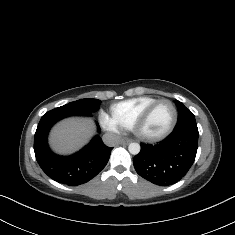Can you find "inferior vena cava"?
Listing matches in <instances>:
<instances>
[{"label": "inferior vena cava", "instance_id": "602c4592", "mask_svg": "<svg viewBox=\"0 0 235 235\" xmlns=\"http://www.w3.org/2000/svg\"><path fill=\"white\" fill-rule=\"evenodd\" d=\"M105 145L109 147H115L119 144L121 137L115 133H106L102 137Z\"/></svg>", "mask_w": 235, "mask_h": 235}]
</instances>
